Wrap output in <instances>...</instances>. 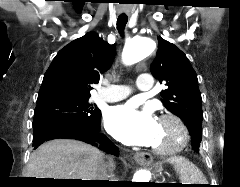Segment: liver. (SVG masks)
<instances>
[{
  "mask_svg": "<svg viewBox=\"0 0 240 187\" xmlns=\"http://www.w3.org/2000/svg\"><path fill=\"white\" fill-rule=\"evenodd\" d=\"M103 158L101 151L84 142L55 139L31 154L26 177L97 180Z\"/></svg>",
  "mask_w": 240,
  "mask_h": 187,
  "instance_id": "obj_1",
  "label": "liver"
}]
</instances>
